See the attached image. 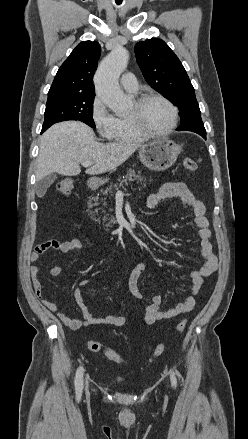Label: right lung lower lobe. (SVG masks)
Masks as SVG:
<instances>
[{"instance_id": "right-lung-lower-lobe-1", "label": "right lung lower lobe", "mask_w": 248, "mask_h": 439, "mask_svg": "<svg viewBox=\"0 0 248 439\" xmlns=\"http://www.w3.org/2000/svg\"><path fill=\"white\" fill-rule=\"evenodd\" d=\"M46 129H42L41 133H43Z\"/></svg>"}]
</instances>
